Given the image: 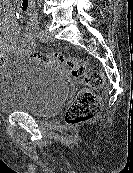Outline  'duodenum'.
Wrapping results in <instances>:
<instances>
[{
    "label": "duodenum",
    "mask_w": 133,
    "mask_h": 173,
    "mask_svg": "<svg viewBox=\"0 0 133 173\" xmlns=\"http://www.w3.org/2000/svg\"><path fill=\"white\" fill-rule=\"evenodd\" d=\"M22 4H23L25 7L29 8V7H30V4H31V0H22Z\"/></svg>",
    "instance_id": "410a0bca"
}]
</instances>
